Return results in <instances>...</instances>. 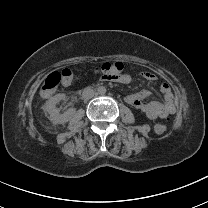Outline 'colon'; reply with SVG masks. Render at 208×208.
<instances>
[{"label": "colon", "instance_id": "1", "mask_svg": "<svg viewBox=\"0 0 208 208\" xmlns=\"http://www.w3.org/2000/svg\"><path fill=\"white\" fill-rule=\"evenodd\" d=\"M124 65L121 61H111L94 66V72L100 77L103 76H121ZM73 79V70L71 68H64L61 71L51 73L44 82L42 90L45 92L55 91L59 85L68 84ZM168 130L166 122H159L154 126V131L158 135H163Z\"/></svg>", "mask_w": 208, "mask_h": 208}]
</instances>
